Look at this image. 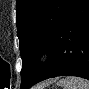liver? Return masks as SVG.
Returning a JSON list of instances; mask_svg holds the SVG:
<instances>
[{
    "label": "liver",
    "mask_w": 89,
    "mask_h": 89,
    "mask_svg": "<svg viewBox=\"0 0 89 89\" xmlns=\"http://www.w3.org/2000/svg\"><path fill=\"white\" fill-rule=\"evenodd\" d=\"M54 80L48 81L45 85H48L50 83H52ZM35 89H40V88H35Z\"/></svg>",
    "instance_id": "6515ba94"
}]
</instances>
